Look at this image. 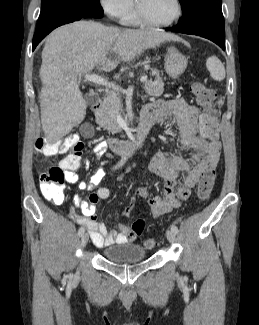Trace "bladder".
I'll list each match as a JSON object with an SVG mask.
<instances>
[{
	"label": "bladder",
	"mask_w": 259,
	"mask_h": 325,
	"mask_svg": "<svg viewBox=\"0 0 259 325\" xmlns=\"http://www.w3.org/2000/svg\"><path fill=\"white\" fill-rule=\"evenodd\" d=\"M103 255L114 263H134L143 261L146 258V251L139 244L127 242L106 247Z\"/></svg>",
	"instance_id": "1"
}]
</instances>
